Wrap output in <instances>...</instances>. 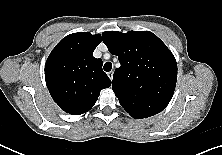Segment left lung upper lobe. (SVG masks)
Returning a JSON list of instances; mask_svg holds the SVG:
<instances>
[{
  "instance_id": "1",
  "label": "left lung upper lobe",
  "mask_w": 222,
  "mask_h": 155,
  "mask_svg": "<svg viewBox=\"0 0 222 155\" xmlns=\"http://www.w3.org/2000/svg\"><path fill=\"white\" fill-rule=\"evenodd\" d=\"M102 39L121 64L112 81L120 105L134 118L161 112L176 86L177 63L172 52L149 31H107Z\"/></svg>"
}]
</instances>
